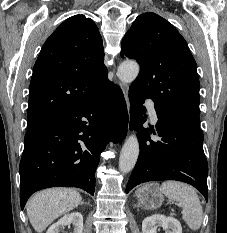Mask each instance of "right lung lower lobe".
<instances>
[{"mask_svg":"<svg viewBox=\"0 0 227 233\" xmlns=\"http://www.w3.org/2000/svg\"><path fill=\"white\" fill-rule=\"evenodd\" d=\"M119 91L109 82L88 102L27 130L19 167L22 209L44 188L77 187L94 194L100 153L109 140L120 142L127 133L126 103L123 94L118 99Z\"/></svg>","mask_w":227,"mask_h":233,"instance_id":"obj_1","label":"right lung lower lobe"}]
</instances>
